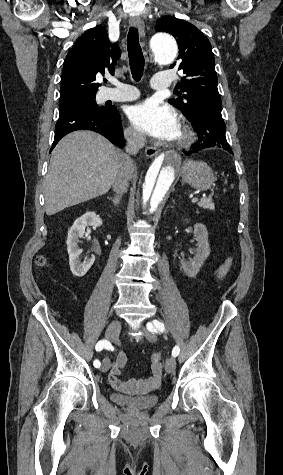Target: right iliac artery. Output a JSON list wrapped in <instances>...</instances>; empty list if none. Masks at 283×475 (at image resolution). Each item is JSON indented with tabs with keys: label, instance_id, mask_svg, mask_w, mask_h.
<instances>
[{
	"label": "right iliac artery",
	"instance_id": "right-iliac-artery-1",
	"mask_svg": "<svg viewBox=\"0 0 283 475\" xmlns=\"http://www.w3.org/2000/svg\"><path fill=\"white\" fill-rule=\"evenodd\" d=\"M108 344V341L106 340H101L99 341L97 344H96V351H101L106 345ZM93 365L96 367V368H99L101 363L99 360H95Z\"/></svg>",
	"mask_w": 283,
	"mask_h": 475
}]
</instances>
